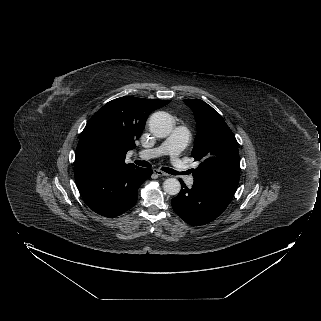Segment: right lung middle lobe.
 Listing matches in <instances>:
<instances>
[{"label":"right lung middle lobe","mask_w":321,"mask_h":321,"mask_svg":"<svg viewBox=\"0 0 321 321\" xmlns=\"http://www.w3.org/2000/svg\"><path fill=\"white\" fill-rule=\"evenodd\" d=\"M75 156L82 164L89 166L100 162L105 156V152L98 145L90 144L76 150Z\"/></svg>","instance_id":"obj_1"}]
</instances>
